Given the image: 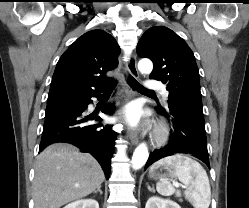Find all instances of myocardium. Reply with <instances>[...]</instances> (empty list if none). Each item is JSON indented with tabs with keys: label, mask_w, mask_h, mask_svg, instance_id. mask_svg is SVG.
<instances>
[{
	"label": "myocardium",
	"mask_w": 249,
	"mask_h": 208,
	"mask_svg": "<svg viewBox=\"0 0 249 208\" xmlns=\"http://www.w3.org/2000/svg\"><path fill=\"white\" fill-rule=\"evenodd\" d=\"M168 137V129L165 125H159L155 131V141L158 143L164 142Z\"/></svg>",
	"instance_id": "obj_1"
}]
</instances>
